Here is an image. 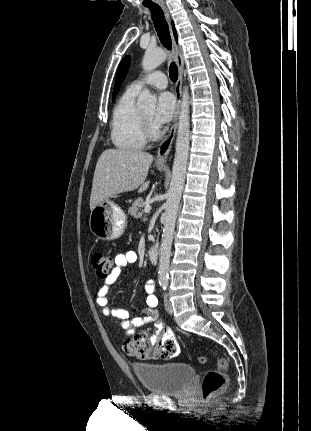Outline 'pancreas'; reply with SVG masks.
Listing matches in <instances>:
<instances>
[{
	"mask_svg": "<svg viewBox=\"0 0 311 431\" xmlns=\"http://www.w3.org/2000/svg\"><path fill=\"white\" fill-rule=\"evenodd\" d=\"M147 202H144L143 198H137L135 202H133L131 208H128L129 216H142V208H145Z\"/></svg>",
	"mask_w": 311,
	"mask_h": 431,
	"instance_id": "cf45deb5",
	"label": "pancreas"
}]
</instances>
